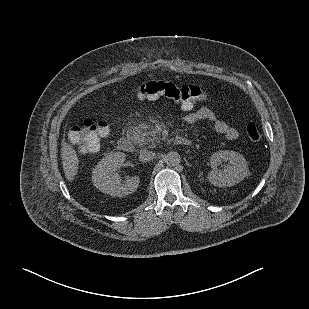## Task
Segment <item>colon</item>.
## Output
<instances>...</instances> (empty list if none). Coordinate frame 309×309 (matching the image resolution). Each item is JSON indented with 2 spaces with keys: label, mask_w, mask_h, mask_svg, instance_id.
Instances as JSON below:
<instances>
[{
  "label": "colon",
  "mask_w": 309,
  "mask_h": 309,
  "mask_svg": "<svg viewBox=\"0 0 309 309\" xmlns=\"http://www.w3.org/2000/svg\"><path fill=\"white\" fill-rule=\"evenodd\" d=\"M137 95L143 99H156L159 97L170 98L186 106L194 105L207 98V93L196 84L177 85L172 82L153 80L139 84L136 88ZM109 132V124L105 120H83L75 129L72 140L82 145L83 149L99 145L100 140ZM248 138L253 142L261 139L257 124L251 122L246 128Z\"/></svg>",
  "instance_id": "colon-1"
}]
</instances>
